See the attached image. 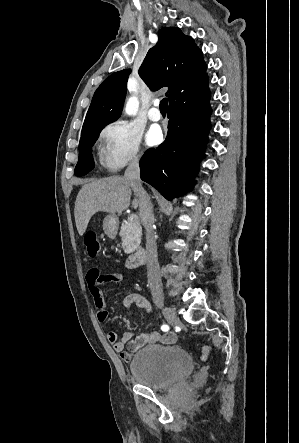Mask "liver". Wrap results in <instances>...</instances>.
Returning a JSON list of instances; mask_svg holds the SVG:
<instances>
[{
  "label": "liver",
  "mask_w": 299,
  "mask_h": 443,
  "mask_svg": "<svg viewBox=\"0 0 299 443\" xmlns=\"http://www.w3.org/2000/svg\"><path fill=\"white\" fill-rule=\"evenodd\" d=\"M131 186L122 176H111L86 182L80 189L74 208L77 231L80 236L85 233L91 217L97 212L120 214L131 203ZM139 205L137 198L132 207Z\"/></svg>",
  "instance_id": "6515ba94"
}]
</instances>
